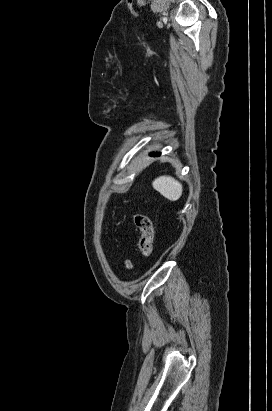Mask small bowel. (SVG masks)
Returning <instances> with one entry per match:
<instances>
[{"instance_id": "c3829d8e", "label": "small bowel", "mask_w": 272, "mask_h": 411, "mask_svg": "<svg viewBox=\"0 0 272 411\" xmlns=\"http://www.w3.org/2000/svg\"><path fill=\"white\" fill-rule=\"evenodd\" d=\"M125 265H126L127 268H130V267L132 266V264H131V262H130L129 260H127V261L125 262Z\"/></svg>"}]
</instances>
